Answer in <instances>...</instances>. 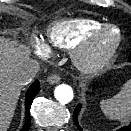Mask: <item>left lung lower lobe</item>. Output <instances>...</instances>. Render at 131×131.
Returning <instances> with one entry per match:
<instances>
[{
  "mask_svg": "<svg viewBox=\"0 0 131 131\" xmlns=\"http://www.w3.org/2000/svg\"><path fill=\"white\" fill-rule=\"evenodd\" d=\"M129 61H131V55L129 57ZM80 109H81V104H78V106L75 108L74 113H73V121H74V124L77 127V129L79 131H83V128L80 125L79 120H78V115H79ZM117 131H131V123L129 125L121 127Z\"/></svg>",
  "mask_w": 131,
  "mask_h": 131,
  "instance_id": "0a47b994",
  "label": "left lung lower lobe"
}]
</instances>
